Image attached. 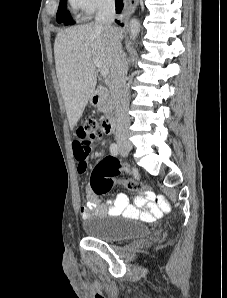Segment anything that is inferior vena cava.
I'll list each match as a JSON object with an SVG mask.
<instances>
[{"instance_id": "1", "label": "inferior vena cava", "mask_w": 227, "mask_h": 298, "mask_svg": "<svg viewBox=\"0 0 227 298\" xmlns=\"http://www.w3.org/2000/svg\"><path fill=\"white\" fill-rule=\"evenodd\" d=\"M115 19V1L101 0L98 12L95 16V24L105 30L112 29V23ZM128 72V62L126 54L122 49L121 42L114 44L113 64L111 68V83L116 102L117 126L115 139L117 142H127L129 138L130 119L129 93L126 85V75Z\"/></svg>"}]
</instances>
